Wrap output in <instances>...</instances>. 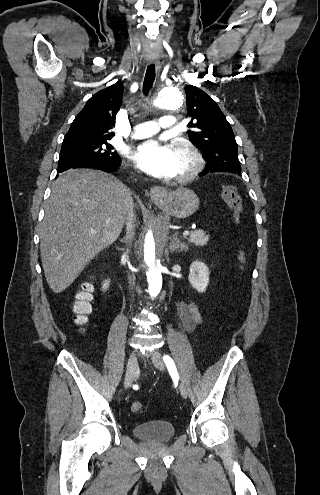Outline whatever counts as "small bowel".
Here are the masks:
<instances>
[{
    "mask_svg": "<svg viewBox=\"0 0 320 495\" xmlns=\"http://www.w3.org/2000/svg\"><path fill=\"white\" fill-rule=\"evenodd\" d=\"M177 319L187 332H192L203 323L197 304L192 301H184L179 304L176 312Z\"/></svg>",
    "mask_w": 320,
    "mask_h": 495,
    "instance_id": "c3829d8e",
    "label": "small bowel"
}]
</instances>
